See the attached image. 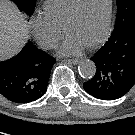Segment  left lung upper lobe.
<instances>
[{
  "label": "left lung upper lobe",
  "mask_w": 135,
  "mask_h": 135,
  "mask_svg": "<svg viewBox=\"0 0 135 135\" xmlns=\"http://www.w3.org/2000/svg\"><path fill=\"white\" fill-rule=\"evenodd\" d=\"M116 3L117 17L111 37L128 31L135 23V0H116Z\"/></svg>",
  "instance_id": "1"
}]
</instances>
